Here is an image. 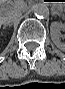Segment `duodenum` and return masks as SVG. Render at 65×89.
Masks as SVG:
<instances>
[{
  "mask_svg": "<svg viewBox=\"0 0 65 89\" xmlns=\"http://www.w3.org/2000/svg\"><path fill=\"white\" fill-rule=\"evenodd\" d=\"M43 2L46 4H51V0H44Z\"/></svg>",
  "mask_w": 65,
  "mask_h": 89,
  "instance_id": "duodenum-1",
  "label": "duodenum"
}]
</instances>
